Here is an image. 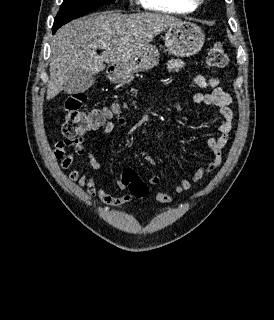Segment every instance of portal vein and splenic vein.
<instances>
[{"label":"portal vein and splenic vein","instance_id":"portal-vein-and-splenic-vein-1","mask_svg":"<svg viewBox=\"0 0 274 320\" xmlns=\"http://www.w3.org/2000/svg\"><path fill=\"white\" fill-rule=\"evenodd\" d=\"M106 44H103V46H101V48H105Z\"/></svg>","mask_w":274,"mask_h":320}]
</instances>
